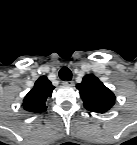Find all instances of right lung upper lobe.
<instances>
[{
	"instance_id": "1",
	"label": "right lung upper lobe",
	"mask_w": 137,
	"mask_h": 145,
	"mask_svg": "<svg viewBox=\"0 0 137 145\" xmlns=\"http://www.w3.org/2000/svg\"><path fill=\"white\" fill-rule=\"evenodd\" d=\"M54 86L46 76H41L35 82L34 87L25 96L22 106L31 113L46 111L47 102L52 96Z\"/></svg>"
}]
</instances>
